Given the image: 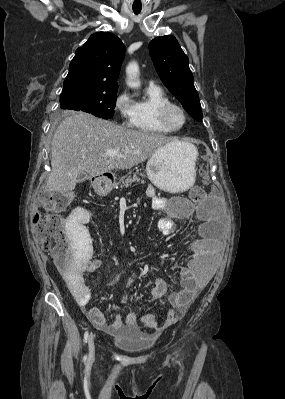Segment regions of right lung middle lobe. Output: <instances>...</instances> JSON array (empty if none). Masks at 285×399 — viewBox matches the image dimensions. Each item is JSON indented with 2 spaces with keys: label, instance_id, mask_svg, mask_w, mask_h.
<instances>
[{
  "label": "right lung middle lobe",
  "instance_id": "dd1d6c3e",
  "mask_svg": "<svg viewBox=\"0 0 285 399\" xmlns=\"http://www.w3.org/2000/svg\"><path fill=\"white\" fill-rule=\"evenodd\" d=\"M117 100L115 92H73L60 95L62 109H70L91 113L92 115L112 119Z\"/></svg>",
  "mask_w": 285,
  "mask_h": 399
}]
</instances>
